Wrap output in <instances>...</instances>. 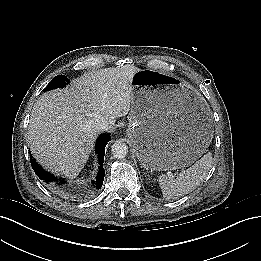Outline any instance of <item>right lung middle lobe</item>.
<instances>
[{"mask_svg": "<svg viewBox=\"0 0 261 261\" xmlns=\"http://www.w3.org/2000/svg\"><path fill=\"white\" fill-rule=\"evenodd\" d=\"M67 82H68V79L65 76L58 75V76L53 78V80L44 89V91H48V90L56 89V88H62L66 85Z\"/></svg>", "mask_w": 261, "mask_h": 261, "instance_id": "right-lung-middle-lobe-1", "label": "right lung middle lobe"}]
</instances>
